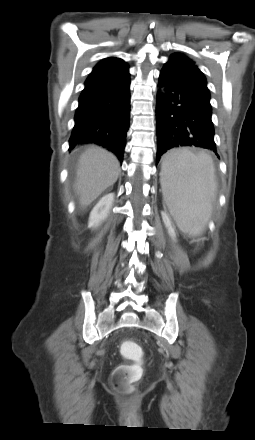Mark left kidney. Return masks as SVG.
Segmentation results:
<instances>
[{
    "label": "left kidney",
    "instance_id": "left-kidney-1",
    "mask_svg": "<svg viewBox=\"0 0 255 440\" xmlns=\"http://www.w3.org/2000/svg\"><path fill=\"white\" fill-rule=\"evenodd\" d=\"M165 224H166V227L168 228V231H169L170 235L172 237H175V232H174V229L171 226V223L167 220Z\"/></svg>",
    "mask_w": 255,
    "mask_h": 440
}]
</instances>
